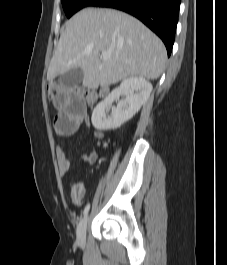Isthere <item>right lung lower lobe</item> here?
<instances>
[{
    "label": "right lung lower lobe",
    "mask_w": 227,
    "mask_h": 265,
    "mask_svg": "<svg viewBox=\"0 0 227 265\" xmlns=\"http://www.w3.org/2000/svg\"><path fill=\"white\" fill-rule=\"evenodd\" d=\"M181 0H93L88 6L125 11L147 25L164 42L171 54Z\"/></svg>",
    "instance_id": "98d812e1"
}]
</instances>
